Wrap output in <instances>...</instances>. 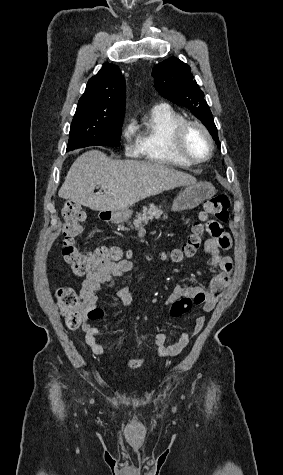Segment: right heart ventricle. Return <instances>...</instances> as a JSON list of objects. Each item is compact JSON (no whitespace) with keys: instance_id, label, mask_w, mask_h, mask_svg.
I'll list each match as a JSON object with an SVG mask.
<instances>
[{"instance_id":"1","label":"right heart ventricle","mask_w":283,"mask_h":475,"mask_svg":"<svg viewBox=\"0 0 283 475\" xmlns=\"http://www.w3.org/2000/svg\"><path fill=\"white\" fill-rule=\"evenodd\" d=\"M183 120H185L184 116L169 105L153 106L149 114L134 125L139 157L155 163L165 162L160 147L162 144L166 146L171 143L170 131Z\"/></svg>"}]
</instances>
